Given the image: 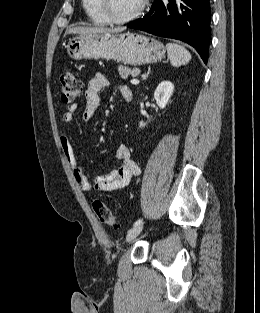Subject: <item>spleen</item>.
<instances>
[{
  "instance_id": "1",
  "label": "spleen",
  "mask_w": 260,
  "mask_h": 313,
  "mask_svg": "<svg viewBox=\"0 0 260 313\" xmlns=\"http://www.w3.org/2000/svg\"><path fill=\"white\" fill-rule=\"evenodd\" d=\"M168 58L171 65L180 67L186 65L191 60V54L187 49L177 43H168L166 45Z\"/></svg>"
}]
</instances>
